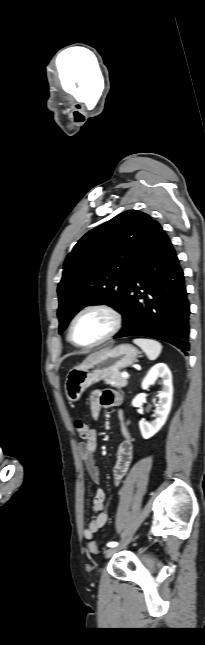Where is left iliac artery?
<instances>
[{
  "mask_svg": "<svg viewBox=\"0 0 205 645\" xmlns=\"http://www.w3.org/2000/svg\"><path fill=\"white\" fill-rule=\"evenodd\" d=\"M117 545H118V543H117V542H109V543L107 544V546H108V547H111V548H112V547H116Z\"/></svg>",
  "mask_w": 205,
  "mask_h": 645,
  "instance_id": "44dca946",
  "label": "left iliac artery"
}]
</instances>
